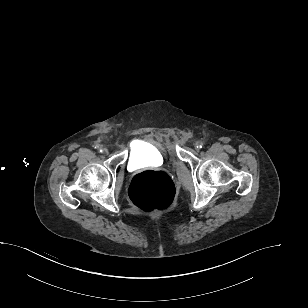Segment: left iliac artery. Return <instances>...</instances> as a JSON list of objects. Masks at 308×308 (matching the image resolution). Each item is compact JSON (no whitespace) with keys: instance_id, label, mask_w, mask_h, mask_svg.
Listing matches in <instances>:
<instances>
[{"instance_id":"1","label":"left iliac artery","mask_w":308,"mask_h":308,"mask_svg":"<svg viewBox=\"0 0 308 308\" xmlns=\"http://www.w3.org/2000/svg\"><path fill=\"white\" fill-rule=\"evenodd\" d=\"M203 145H204L203 142H200L199 145H198V147H199V148H202Z\"/></svg>"}]
</instances>
